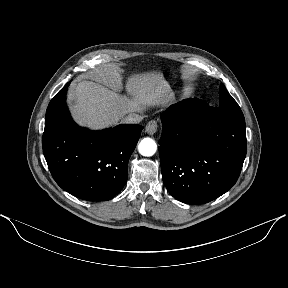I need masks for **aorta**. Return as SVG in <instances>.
<instances>
[{"instance_id":"762f6f07","label":"aorta","mask_w":288,"mask_h":288,"mask_svg":"<svg viewBox=\"0 0 288 288\" xmlns=\"http://www.w3.org/2000/svg\"><path fill=\"white\" fill-rule=\"evenodd\" d=\"M139 153L143 156L149 157L155 154L157 145L151 138H144L138 146Z\"/></svg>"}]
</instances>
